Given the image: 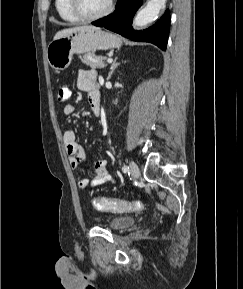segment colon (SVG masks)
Segmentation results:
<instances>
[{
    "mask_svg": "<svg viewBox=\"0 0 243 289\" xmlns=\"http://www.w3.org/2000/svg\"><path fill=\"white\" fill-rule=\"evenodd\" d=\"M69 98V89L61 87L57 91V101L64 103ZM93 206L99 211L129 213L142 211L145 206L140 201H126L109 198H95Z\"/></svg>",
    "mask_w": 243,
    "mask_h": 289,
    "instance_id": "1",
    "label": "colon"
}]
</instances>
